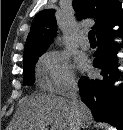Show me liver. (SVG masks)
Segmentation results:
<instances>
[{
	"instance_id": "6515ba94",
	"label": "liver",
	"mask_w": 123,
	"mask_h": 130,
	"mask_svg": "<svg viewBox=\"0 0 123 130\" xmlns=\"http://www.w3.org/2000/svg\"><path fill=\"white\" fill-rule=\"evenodd\" d=\"M80 125L88 126L92 114L88 107L78 100ZM72 100L67 95H32L19 101L17 112L10 123L9 130H71Z\"/></svg>"
}]
</instances>
